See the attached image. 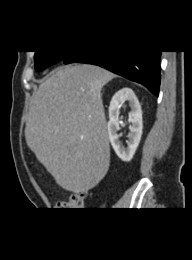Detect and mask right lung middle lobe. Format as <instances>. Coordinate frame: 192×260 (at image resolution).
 <instances>
[{
  "label": "right lung middle lobe",
  "mask_w": 192,
  "mask_h": 260,
  "mask_svg": "<svg viewBox=\"0 0 192 260\" xmlns=\"http://www.w3.org/2000/svg\"><path fill=\"white\" fill-rule=\"evenodd\" d=\"M70 52L69 51H35V69L42 71L45 68L62 61Z\"/></svg>",
  "instance_id": "right-lung-middle-lobe-1"
}]
</instances>
